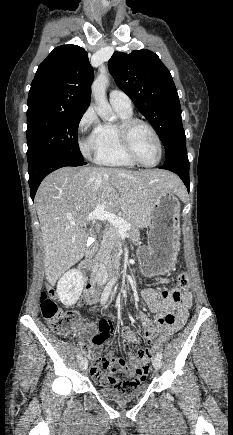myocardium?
<instances>
[{
  "instance_id": "f54148a6",
  "label": "myocardium",
  "mask_w": 233,
  "mask_h": 435,
  "mask_svg": "<svg viewBox=\"0 0 233 435\" xmlns=\"http://www.w3.org/2000/svg\"><path fill=\"white\" fill-rule=\"evenodd\" d=\"M137 125L145 126L151 132L152 136L154 137V140H155L157 148H158L159 156H158L157 161L153 164L143 163L138 158V156L135 152V149H134L133 144H132L131 135H132V131L134 130V128ZM118 132H119V137L121 140L123 150H124L125 154L127 155V157L134 164H136L140 167H144V168H153V167H156L160 163L162 156H163L162 143H161L160 137H159L156 129L149 122H147L143 119L132 117L130 119L123 120L119 123Z\"/></svg>"
}]
</instances>
